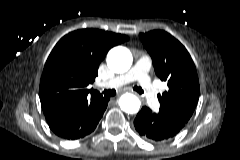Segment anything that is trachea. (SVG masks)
<instances>
[{
  "instance_id": "obj_1",
  "label": "trachea",
  "mask_w": 240,
  "mask_h": 160,
  "mask_svg": "<svg viewBox=\"0 0 240 160\" xmlns=\"http://www.w3.org/2000/svg\"><path fill=\"white\" fill-rule=\"evenodd\" d=\"M133 89H134L136 92H138V93H140V94H143L142 88L135 86ZM102 93H103L105 96L112 97V96H114V95L116 94V90H115V89H112V90H110V89H109V90H104Z\"/></svg>"
}]
</instances>
